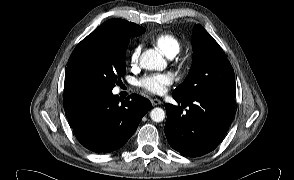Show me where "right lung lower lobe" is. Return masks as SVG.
I'll list each match as a JSON object with an SVG mask.
<instances>
[{
	"label": "right lung lower lobe",
	"instance_id": "obj_1",
	"mask_svg": "<svg viewBox=\"0 0 294 180\" xmlns=\"http://www.w3.org/2000/svg\"><path fill=\"white\" fill-rule=\"evenodd\" d=\"M63 105L79 142L96 153H109L123 146L151 108L150 101L140 95L123 100L105 90L66 94Z\"/></svg>",
	"mask_w": 294,
	"mask_h": 180
}]
</instances>
